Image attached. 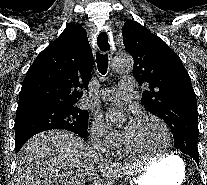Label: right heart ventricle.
Instances as JSON below:
<instances>
[{
	"mask_svg": "<svg viewBox=\"0 0 207 185\" xmlns=\"http://www.w3.org/2000/svg\"><path fill=\"white\" fill-rule=\"evenodd\" d=\"M109 152L110 154L116 157H124L128 155L124 150L122 143L120 142H117Z\"/></svg>",
	"mask_w": 207,
	"mask_h": 185,
	"instance_id": "e07e8e85",
	"label": "right heart ventricle"
}]
</instances>
